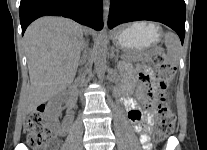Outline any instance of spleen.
Masks as SVG:
<instances>
[{
	"mask_svg": "<svg viewBox=\"0 0 207 150\" xmlns=\"http://www.w3.org/2000/svg\"><path fill=\"white\" fill-rule=\"evenodd\" d=\"M167 48V61L171 66H177L180 59L181 43L178 36L172 32H168L164 37Z\"/></svg>",
	"mask_w": 207,
	"mask_h": 150,
	"instance_id": "obj_1",
	"label": "spleen"
}]
</instances>
